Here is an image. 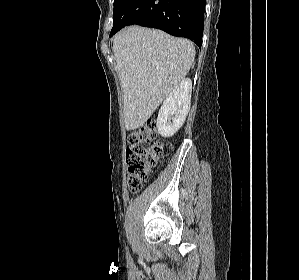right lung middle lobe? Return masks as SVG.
<instances>
[{
	"label": "right lung middle lobe",
	"mask_w": 299,
	"mask_h": 280,
	"mask_svg": "<svg viewBox=\"0 0 299 280\" xmlns=\"http://www.w3.org/2000/svg\"><path fill=\"white\" fill-rule=\"evenodd\" d=\"M123 2H124V0H114L113 19L115 18L116 14L118 13Z\"/></svg>",
	"instance_id": "right-lung-middle-lobe-1"
}]
</instances>
